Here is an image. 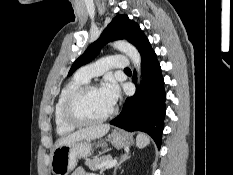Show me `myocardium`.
Instances as JSON below:
<instances>
[{
	"instance_id": "myocardium-1",
	"label": "myocardium",
	"mask_w": 233,
	"mask_h": 175,
	"mask_svg": "<svg viewBox=\"0 0 233 175\" xmlns=\"http://www.w3.org/2000/svg\"><path fill=\"white\" fill-rule=\"evenodd\" d=\"M99 88L96 84H84L75 89L65 100L63 105V117L67 123L74 126H87L102 123L111 118L116 108L113 106L112 109L105 115L98 118L84 117L78 112V105L81 99L90 91Z\"/></svg>"
}]
</instances>
